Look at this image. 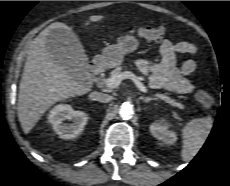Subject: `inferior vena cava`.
<instances>
[{
  "mask_svg": "<svg viewBox=\"0 0 230 186\" xmlns=\"http://www.w3.org/2000/svg\"><path fill=\"white\" fill-rule=\"evenodd\" d=\"M90 98L91 100L99 101L102 103L110 102L112 99L110 95L96 91L91 93Z\"/></svg>",
  "mask_w": 230,
  "mask_h": 186,
  "instance_id": "inferior-vena-cava-1",
  "label": "inferior vena cava"
}]
</instances>
